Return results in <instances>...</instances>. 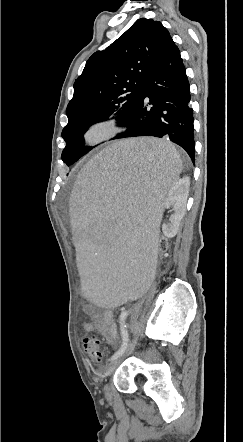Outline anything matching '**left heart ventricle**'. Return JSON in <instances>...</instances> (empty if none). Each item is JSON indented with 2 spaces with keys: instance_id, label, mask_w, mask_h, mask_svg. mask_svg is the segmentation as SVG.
<instances>
[{
  "instance_id": "left-heart-ventricle-1",
  "label": "left heart ventricle",
  "mask_w": 243,
  "mask_h": 442,
  "mask_svg": "<svg viewBox=\"0 0 243 442\" xmlns=\"http://www.w3.org/2000/svg\"><path fill=\"white\" fill-rule=\"evenodd\" d=\"M103 132H104V129L98 128V129L93 130L91 132L90 136H91V138H95V137H98L99 135H101Z\"/></svg>"
}]
</instances>
